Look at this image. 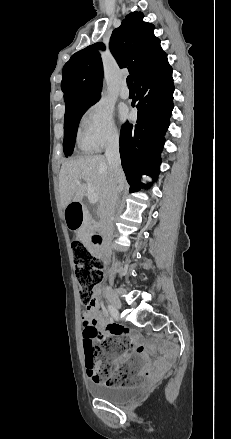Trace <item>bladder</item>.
I'll use <instances>...</instances> for the list:
<instances>
[{"mask_svg": "<svg viewBox=\"0 0 231 439\" xmlns=\"http://www.w3.org/2000/svg\"><path fill=\"white\" fill-rule=\"evenodd\" d=\"M89 389L93 397L115 404L135 399L142 392L139 386H108L103 383L92 384Z\"/></svg>", "mask_w": 231, "mask_h": 439, "instance_id": "obj_1", "label": "bladder"}]
</instances>
